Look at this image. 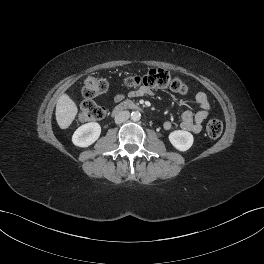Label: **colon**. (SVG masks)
<instances>
[{"label":"colon","instance_id":"colon-1","mask_svg":"<svg viewBox=\"0 0 264 264\" xmlns=\"http://www.w3.org/2000/svg\"><path fill=\"white\" fill-rule=\"evenodd\" d=\"M125 85L131 88L170 89L174 92L185 93L187 90L184 82L168 71L152 68L144 75H131L125 78ZM107 90V82L98 77L89 76L85 79L82 93L86 98L82 105L80 118L84 121L101 120L106 115V109L96 104L92 99ZM223 131V124L218 119H211L206 127L207 135L216 139Z\"/></svg>","mask_w":264,"mask_h":264}]
</instances>
